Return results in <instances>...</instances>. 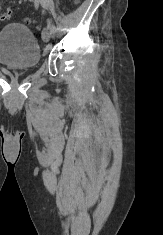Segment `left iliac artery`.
Segmentation results:
<instances>
[{"label":"left iliac artery","mask_w":163,"mask_h":235,"mask_svg":"<svg viewBox=\"0 0 163 235\" xmlns=\"http://www.w3.org/2000/svg\"><path fill=\"white\" fill-rule=\"evenodd\" d=\"M35 1H38L41 3V5L44 7V8H47V5H46V0H35ZM48 27L51 29V30H55L56 27L54 25V23L52 21H48Z\"/></svg>","instance_id":"obj_1"}]
</instances>
